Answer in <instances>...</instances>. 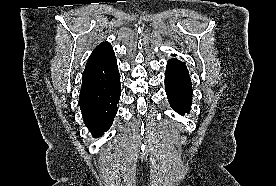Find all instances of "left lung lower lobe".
I'll return each instance as SVG.
<instances>
[{"label":"left lung lower lobe","mask_w":276,"mask_h":186,"mask_svg":"<svg viewBox=\"0 0 276 186\" xmlns=\"http://www.w3.org/2000/svg\"><path fill=\"white\" fill-rule=\"evenodd\" d=\"M165 90L171 107L181 115L190 112L192 83L186 65L172 59L167 63Z\"/></svg>","instance_id":"0a47b994"}]
</instances>
